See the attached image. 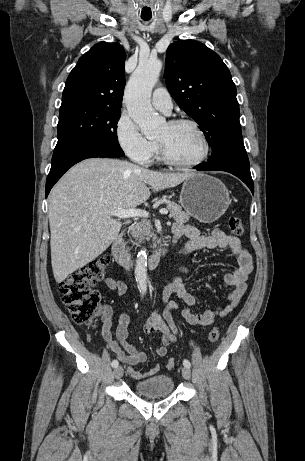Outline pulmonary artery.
Masks as SVG:
<instances>
[{"mask_svg": "<svg viewBox=\"0 0 305 461\" xmlns=\"http://www.w3.org/2000/svg\"><path fill=\"white\" fill-rule=\"evenodd\" d=\"M152 105L163 113L169 114L173 107L172 98L164 87H158L152 94Z\"/></svg>", "mask_w": 305, "mask_h": 461, "instance_id": "pulmonary-artery-1", "label": "pulmonary artery"}]
</instances>
